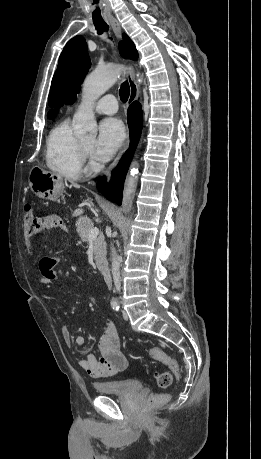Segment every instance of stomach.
Returning <instances> with one entry per match:
<instances>
[{"label":"stomach","mask_w":261,"mask_h":459,"mask_svg":"<svg viewBox=\"0 0 261 459\" xmlns=\"http://www.w3.org/2000/svg\"><path fill=\"white\" fill-rule=\"evenodd\" d=\"M29 187L39 198L57 201L63 194V178L40 167H33L28 177Z\"/></svg>","instance_id":"1"}]
</instances>
